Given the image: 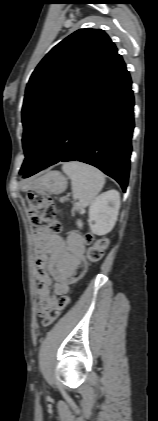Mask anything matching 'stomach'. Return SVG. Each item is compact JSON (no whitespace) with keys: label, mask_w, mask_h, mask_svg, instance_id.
<instances>
[{"label":"stomach","mask_w":158,"mask_h":421,"mask_svg":"<svg viewBox=\"0 0 158 421\" xmlns=\"http://www.w3.org/2000/svg\"><path fill=\"white\" fill-rule=\"evenodd\" d=\"M29 188L41 189L50 194H60L67 188V179L58 171H48L35 179Z\"/></svg>","instance_id":"stomach-1"}]
</instances>
